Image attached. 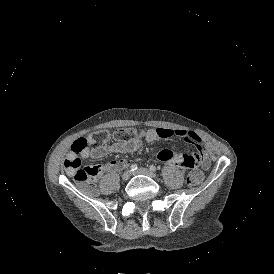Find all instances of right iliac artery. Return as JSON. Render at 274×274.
Returning <instances> with one entry per match:
<instances>
[{
  "mask_svg": "<svg viewBox=\"0 0 274 274\" xmlns=\"http://www.w3.org/2000/svg\"><path fill=\"white\" fill-rule=\"evenodd\" d=\"M137 168H138V166H137L136 164H132V165L130 166V170H131V171H135V170H137Z\"/></svg>",
  "mask_w": 274,
  "mask_h": 274,
  "instance_id": "1",
  "label": "right iliac artery"
}]
</instances>
